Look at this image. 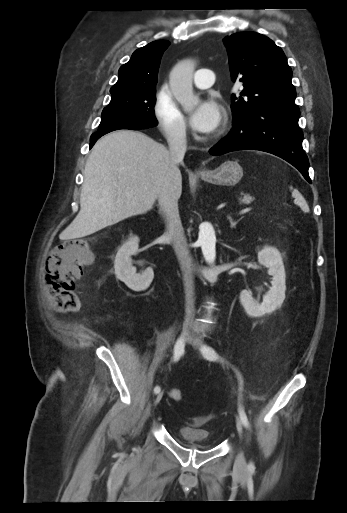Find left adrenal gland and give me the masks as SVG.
<instances>
[{
    "instance_id": "1",
    "label": "left adrenal gland",
    "mask_w": 347,
    "mask_h": 513,
    "mask_svg": "<svg viewBox=\"0 0 347 513\" xmlns=\"http://www.w3.org/2000/svg\"><path fill=\"white\" fill-rule=\"evenodd\" d=\"M242 218H243V217L239 218L237 221H234L230 215H229V216H227V219H228V220H229V222H230V227H231V228H235V227H236V225L238 224V222H239L240 220H242Z\"/></svg>"
}]
</instances>
